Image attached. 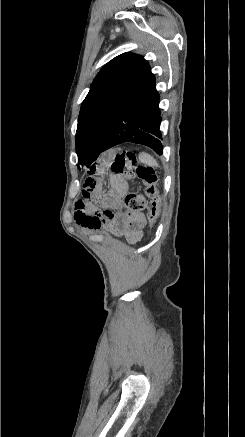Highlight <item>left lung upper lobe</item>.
<instances>
[{
    "label": "left lung upper lobe",
    "mask_w": 245,
    "mask_h": 437,
    "mask_svg": "<svg viewBox=\"0 0 245 437\" xmlns=\"http://www.w3.org/2000/svg\"><path fill=\"white\" fill-rule=\"evenodd\" d=\"M151 75L141 55L123 53L96 75L82 102L76 131V153L82 166L90 167L112 126L127 104Z\"/></svg>",
    "instance_id": "1"
}]
</instances>
